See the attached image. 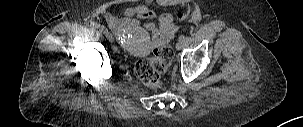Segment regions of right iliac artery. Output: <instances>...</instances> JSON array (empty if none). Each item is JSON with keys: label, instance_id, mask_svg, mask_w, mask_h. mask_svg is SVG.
I'll use <instances>...</instances> for the list:
<instances>
[{"label": "right iliac artery", "instance_id": "82829eb1", "mask_svg": "<svg viewBox=\"0 0 303 127\" xmlns=\"http://www.w3.org/2000/svg\"><path fill=\"white\" fill-rule=\"evenodd\" d=\"M94 27L97 28V29H99V31H101L104 34L108 32V30L104 26H102L100 24L95 23Z\"/></svg>", "mask_w": 303, "mask_h": 127}]
</instances>
